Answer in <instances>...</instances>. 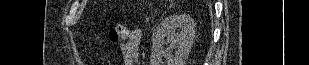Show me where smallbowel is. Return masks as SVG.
Returning <instances> with one entry per match:
<instances>
[{
  "label": "small bowel",
  "instance_id": "small-bowel-1",
  "mask_svg": "<svg viewBox=\"0 0 309 65\" xmlns=\"http://www.w3.org/2000/svg\"><path fill=\"white\" fill-rule=\"evenodd\" d=\"M142 39L140 29L127 32L123 43L120 45V52L125 65H138V49Z\"/></svg>",
  "mask_w": 309,
  "mask_h": 65
}]
</instances>
